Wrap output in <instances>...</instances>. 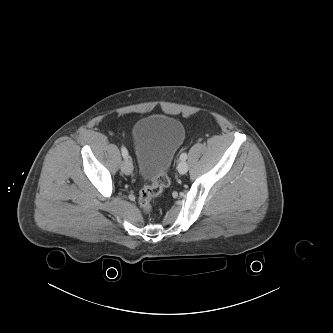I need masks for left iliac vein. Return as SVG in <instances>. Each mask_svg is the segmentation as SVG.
Instances as JSON below:
<instances>
[{
  "label": "left iliac vein",
  "mask_w": 333,
  "mask_h": 333,
  "mask_svg": "<svg viewBox=\"0 0 333 333\" xmlns=\"http://www.w3.org/2000/svg\"><path fill=\"white\" fill-rule=\"evenodd\" d=\"M178 172L180 174H186L187 171H188V164L185 162V161H181L179 164H178Z\"/></svg>",
  "instance_id": "obj_1"
}]
</instances>
